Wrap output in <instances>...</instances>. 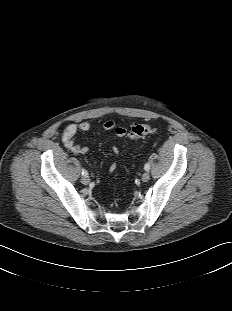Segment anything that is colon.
I'll return each instance as SVG.
<instances>
[{"label": "colon", "mask_w": 232, "mask_h": 311, "mask_svg": "<svg viewBox=\"0 0 232 311\" xmlns=\"http://www.w3.org/2000/svg\"><path fill=\"white\" fill-rule=\"evenodd\" d=\"M155 132V128L149 124H136L132 126L128 137L133 140L145 138Z\"/></svg>", "instance_id": "obj_1"}]
</instances>
